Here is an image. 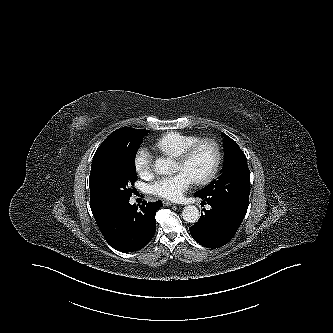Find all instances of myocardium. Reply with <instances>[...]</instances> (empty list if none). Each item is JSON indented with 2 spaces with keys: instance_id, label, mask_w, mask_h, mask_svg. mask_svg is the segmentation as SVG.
I'll return each instance as SVG.
<instances>
[{
  "instance_id": "1",
  "label": "myocardium",
  "mask_w": 333,
  "mask_h": 333,
  "mask_svg": "<svg viewBox=\"0 0 333 333\" xmlns=\"http://www.w3.org/2000/svg\"><path fill=\"white\" fill-rule=\"evenodd\" d=\"M204 144H208L210 145L215 153V159H214V163L213 166L211 168V170L209 171V173L200 179H196L194 180L196 184L198 185H206L209 184L210 182H212L216 176L219 173V170L221 168V164H222V159H223V154H222V150L221 147L219 145V143L211 138H202L197 140L196 142H194L193 144H191L178 158L177 161L181 162V163H187L188 161L191 160V158L193 157V155L195 154V152L198 150V148Z\"/></svg>"
}]
</instances>
